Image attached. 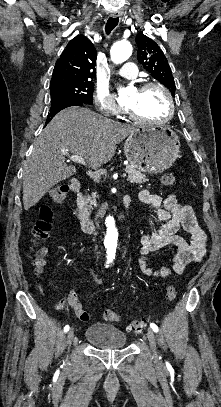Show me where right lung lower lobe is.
<instances>
[{
    "label": "right lung lower lobe",
    "mask_w": 221,
    "mask_h": 407,
    "mask_svg": "<svg viewBox=\"0 0 221 407\" xmlns=\"http://www.w3.org/2000/svg\"><path fill=\"white\" fill-rule=\"evenodd\" d=\"M83 102L66 100L56 104L51 105L50 112L48 113L46 123H48L59 111L70 106H83Z\"/></svg>",
    "instance_id": "1"
}]
</instances>
